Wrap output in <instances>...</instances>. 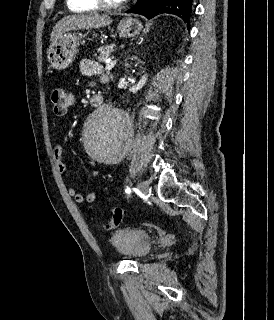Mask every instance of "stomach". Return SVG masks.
Instances as JSON below:
<instances>
[{
	"label": "stomach",
	"instance_id": "0dacf381",
	"mask_svg": "<svg viewBox=\"0 0 274 320\" xmlns=\"http://www.w3.org/2000/svg\"><path fill=\"white\" fill-rule=\"evenodd\" d=\"M143 26L135 18H123L118 26L119 36L134 38L138 36ZM80 34H61L56 42L51 44L47 52V60L54 70H65L72 64L80 46Z\"/></svg>",
	"mask_w": 274,
	"mask_h": 320
}]
</instances>
